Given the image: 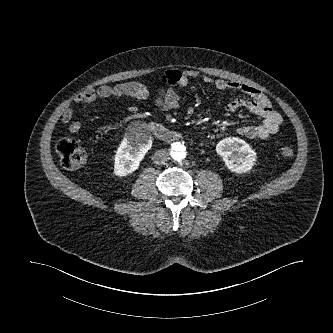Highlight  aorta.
Instances as JSON below:
<instances>
[{"instance_id": "762f6f07", "label": "aorta", "mask_w": 333, "mask_h": 333, "mask_svg": "<svg viewBox=\"0 0 333 333\" xmlns=\"http://www.w3.org/2000/svg\"><path fill=\"white\" fill-rule=\"evenodd\" d=\"M172 156L175 160L181 161L186 156V147L183 143H174L172 145Z\"/></svg>"}]
</instances>
